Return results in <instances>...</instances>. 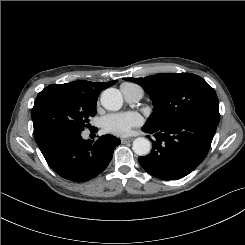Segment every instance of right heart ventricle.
I'll return each mask as SVG.
<instances>
[{
	"label": "right heart ventricle",
	"mask_w": 245,
	"mask_h": 245,
	"mask_svg": "<svg viewBox=\"0 0 245 245\" xmlns=\"http://www.w3.org/2000/svg\"><path fill=\"white\" fill-rule=\"evenodd\" d=\"M133 86H136V85H134V84H132V83H123V84L121 85V90L130 88V87H133Z\"/></svg>",
	"instance_id": "1"
}]
</instances>
